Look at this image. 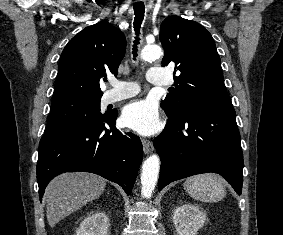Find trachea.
Wrapping results in <instances>:
<instances>
[{"label": "trachea", "instance_id": "trachea-1", "mask_svg": "<svg viewBox=\"0 0 283 235\" xmlns=\"http://www.w3.org/2000/svg\"><path fill=\"white\" fill-rule=\"evenodd\" d=\"M133 9H134V14H135L134 30H135L136 34H139V30H140L142 21L144 19V13H145L144 3H142V2L135 3L133 5ZM138 43H139V38L136 37V41H134V47H133V56H134V58H136V56H137V44Z\"/></svg>", "mask_w": 283, "mask_h": 235}]
</instances>
